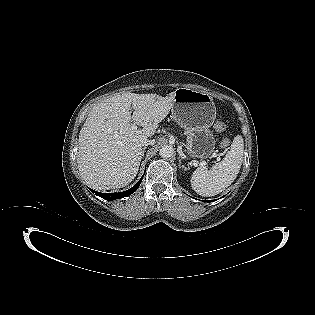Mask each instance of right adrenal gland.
I'll list each match as a JSON object with an SVG mask.
<instances>
[{
	"label": "right adrenal gland",
	"mask_w": 315,
	"mask_h": 315,
	"mask_svg": "<svg viewBox=\"0 0 315 315\" xmlns=\"http://www.w3.org/2000/svg\"><path fill=\"white\" fill-rule=\"evenodd\" d=\"M145 149H146V147L143 148V156H144Z\"/></svg>",
	"instance_id": "1"
}]
</instances>
